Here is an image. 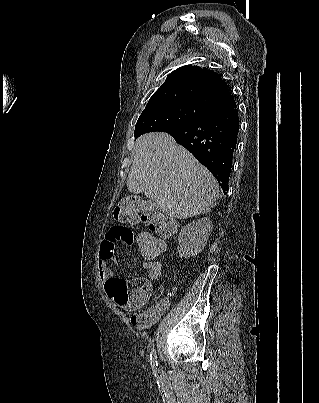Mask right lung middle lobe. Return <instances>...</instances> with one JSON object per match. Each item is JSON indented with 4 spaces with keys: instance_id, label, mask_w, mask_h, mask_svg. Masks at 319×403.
Listing matches in <instances>:
<instances>
[{
    "instance_id": "obj_1",
    "label": "right lung middle lobe",
    "mask_w": 319,
    "mask_h": 403,
    "mask_svg": "<svg viewBox=\"0 0 319 403\" xmlns=\"http://www.w3.org/2000/svg\"><path fill=\"white\" fill-rule=\"evenodd\" d=\"M209 113V109L193 103H160L146 106L136 123L134 137L169 126L185 125Z\"/></svg>"
}]
</instances>
